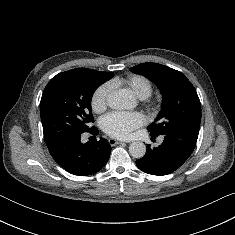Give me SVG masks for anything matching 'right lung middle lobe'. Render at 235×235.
Masks as SVG:
<instances>
[{"label":"right lung middle lobe","instance_id":"1","mask_svg":"<svg viewBox=\"0 0 235 235\" xmlns=\"http://www.w3.org/2000/svg\"><path fill=\"white\" fill-rule=\"evenodd\" d=\"M112 76V72L78 68L59 73L49 81L40 102L47 146L68 133H84L91 129L93 93Z\"/></svg>","mask_w":235,"mask_h":235}]
</instances>
